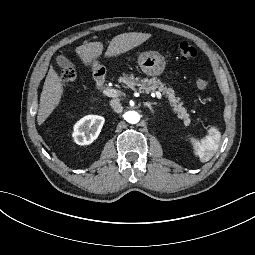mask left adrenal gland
I'll list each match as a JSON object with an SVG mask.
<instances>
[{"label":"left adrenal gland","mask_w":255,"mask_h":255,"mask_svg":"<svg viewBox=\"0 0 255 255\" xmlns=\"http://www.w3.org/2000/svg\"><path fill=\"white\" fill-rule=\"evenodd\" d=\"M146 107H148L151 110L152 115H154L155 111L153 109V105L151 103H144Z\"/></svg>","instance_id":"obj_1"}]
</instances>
